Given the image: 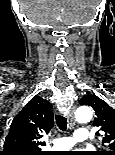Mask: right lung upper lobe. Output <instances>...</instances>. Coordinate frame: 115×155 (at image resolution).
Instances as JSON below:
<instances>
[{
  "instance_id": "right-lung-upper-lobe-1",
  "label": "right lung upper lobe",
  "mask_w": 115,
  "mask_h": 155,
  "mask_svg": "<svg viewBox=\"0 0 115 155\" xmlns=\"http://www.w3.org/2000/svg\"><path fill=\"white\" fill-rule=\"evenodd\" d=\"M51 104L43 98H32L16 115L0 155H45L40 150L42 132H49L54 125Z\"/></svg>"
}]
</instances>
